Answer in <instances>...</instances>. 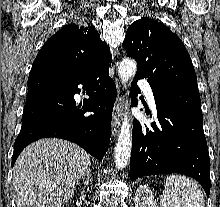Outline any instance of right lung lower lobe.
<instances>
[{"label": "right lung lower lobe", "instance_id": "right-lung-lower-lobe-1", "mask_svg": "<svg viewBox=\"0 0 220 207\" xmlns=\"http://www.w3.org/2000/svg\"><path fill=\"white\" fill-rule=\"evenodd\" d=\"M86 87L89 99L76 106L73 97ZM116 86L109 77V62L79 75L56 72L29 74L22 127L14 143L12 166L21 151L41 138L56 137L76 143L102 160L111 136ZM83 106V110L77 109ZM92 111L94 114L85 115Z\"/></svg>", "mask_w": 220, "mask_h": 207}]
</instances>
